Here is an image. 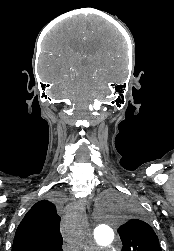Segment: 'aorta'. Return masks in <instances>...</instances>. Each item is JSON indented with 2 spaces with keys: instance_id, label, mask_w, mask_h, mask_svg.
<instances>
[{
  "instance_id": "762f6f07",
  "label": "aorta",
  "mask_w": 174,
  "mask_h": 251,
  "mask_svg": "<svg viewBox=\"0 0 174 251\" xmlns=\"http://www.w3.org/2000/svg\"><path fill=\"white\" fill-rule=\"evenodd\" d=\"M114 209L103 202L99 208V215L95 221L94 239L101 247L110 245L114 239Z\"/></svg>"
}]
</instances>
